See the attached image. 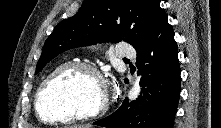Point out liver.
Returning <instances> with one entry per match:
<instances>
[{
    "mask_svg": "<svg viewBox=\"0 0 221 128\" xmlns=\"http://www.w3.org/2000/svg\"><path fill=\"white\" fill-rule=\"evenodd\" d=\"M68 128H92V125L87 124V125H74Z\"/></svg>",
    "mask_w": 221,
    "mask_h": 128,
    "instance_id": "6515ba94",
    "label": "liver"
}]
</instances>
